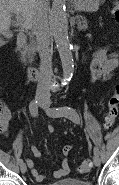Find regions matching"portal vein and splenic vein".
I'll return each instance as SVG.
<instances>
[{"mask_svg":"<svg viewBox=\"0 0 119 185\" xmlns=\"http://www.w3.org/2000/svg\"><path fill=\"white\" fill-rule=\"evenodd\" d=\"M16 18H17L18 20H20V16H19L18 14H16ZM20 25H21V23H20Z\"/></svg>","mask_w":119,"mask_h":185,"instance_id":"obj_1","label":"portal vein and splenic vein"}]
</instances>
